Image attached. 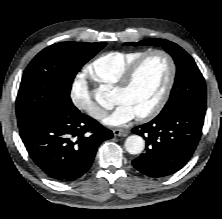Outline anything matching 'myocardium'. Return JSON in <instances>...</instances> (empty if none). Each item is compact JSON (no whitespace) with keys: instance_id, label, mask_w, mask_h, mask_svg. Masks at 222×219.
I'll return each mask as SVG.
<instances>
[{"instance_id":"myocardium-1","label":"myocardium","mask_w":222,"mask_h":219,"mask_svg":"<svg viewBox=\"0 0 222 219\" xmlns=\"http://www.w3.org/2000/svg\"><path fill=\"white\" fill-rule=\"evenodd\" d=\"M152 55H160L167 61L168 79L158 102L150 110L137 116V119L140 121H147L155 118L165 107L170 97L176 79L177 68L173 56L169 52L162 49H154L145 52L130 64V66L125 70V72L123 73L122 77L120 78L119 82L116 85L117 90L124 91L128 89L131 86L142 63Z\"/></svg>"}]
</instances>
